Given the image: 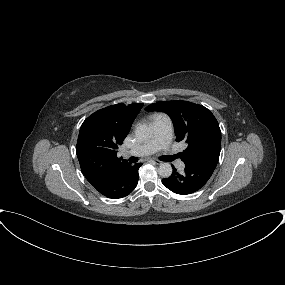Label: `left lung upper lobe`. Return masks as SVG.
Wrapping results in <instances>:
<instances>
[{"instance_id":"5c2ea615","label":"left lung upper lobe","mask_w":285,"mask_h":285,"mask_svg":"<svg viewBox=\"0 0 285 285\" xmlns=\"http://www.w3.org/2000/svg\"><path fill=\"white\" fill-rule=\"evenodd\" d=\"M146 111H162L174 124L176 141H185L187 149L180 153L185 164L199 161L218 163L221 145L219 124L209 109L188 101H162L151 104Z\"/></svg>"}]
</instances>
